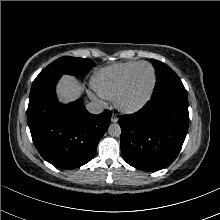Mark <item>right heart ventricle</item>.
Returning <instances> with one entry per match:
<instances>
[{"mask_svg":"<svg viewBox=\"0 0 220 220\" xmlns=\"http://www.w3.org/2000/svg\"><path fill=\"white\" fill-rule=\"evenodd\" d=\"M137 63H117L98 70L91 78L93 89L103 98L114 99L126 75Z\"/></svg>","mask_w":220,"mask_h":220,"instance_id":"obj_1","label":"right heart ventricle"}]
</instances>
